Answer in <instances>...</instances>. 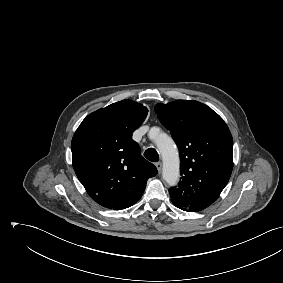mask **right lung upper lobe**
<instances>
[{"mask_svg": "<svg viewBox=\"0 0 283 283\" xmlns=\"http://www.w3.org/2000/svg\"><path fill=\"white\" fill-rule=\"evenodd\" d=\"M147 108L122 100L88 115L71 143L75 173L90 197L103 207L128 208L140 200L156 167L141 156L132 133Z\"/></svg>", "mask_w": 283, "mask_h": 283, "instance_id": "right-lung-upper-lobe-1", "label": "right lung upper lobe"}]
</instances>
